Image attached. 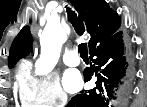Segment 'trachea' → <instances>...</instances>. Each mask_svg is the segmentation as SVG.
<instances>
[{
	"label": "trachea",
	"mask_w": 147,
	"mask_h": 107,
	"mask_svg": "<svg viewBox=\"0 0 147 107\" xmlns=\"http://www.w3.org/2000/svg\"><path fill=\"white\" fill-rule=\"evenodd\" d=\"M68 18L72 26L74 27L76 33L81 36L83 35L85 28L83 24V20L77 17L75 11H72L71 8H67ZM78 51L80 52L81 57H88V49L86 43H81L78 45Z\"/></svg>",
	"instance_id": "1"
}]
</instances>
